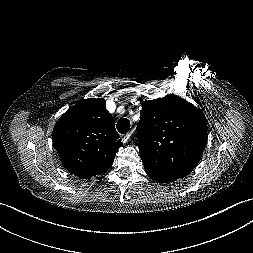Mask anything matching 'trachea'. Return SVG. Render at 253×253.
I'll use <instances>...</instances> for the list:
<instances>
[{"label": "trachea", "mask_w": 253, "mask_h": 253, "mask_svg": "<svg viewBox=\"0 0 253 253\" xmlns=\"http://www.w3.org/2000/svg\"><path fill=\"white\" fill-rule=\"evenodd\" d=\"M130 129V121L126 118L120 119L117 122V130L121 134H125L129 131Z\"/></svg>", "instance_id": "3493384b"}]
</instances>
